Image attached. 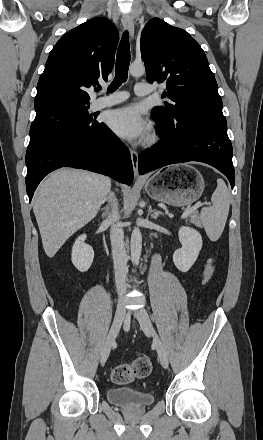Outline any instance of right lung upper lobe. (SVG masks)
<instances>
[{
  "instance_id": "1",
  "label": "right lung upper lobe",
  "mask_w": 263,
  "mask_h": 440,
  "mask_svg": "<svg viewBox=\"0 0 263 440\" xmlns=\"http://www.w3.org/2000/svg\"><path fill=\"white\" fill-rule=\"evenodd\" d=\"M119 34L106 18L86 21L65 34L51 50L37 84L35 108L59 102L89 103L98 79L107 81Z\"/></svg>"
}]
</instances>
